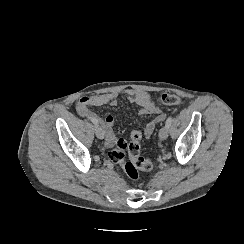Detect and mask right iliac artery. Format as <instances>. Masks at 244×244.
<instances>
[{"mask_svg": "<svg viewBox=\"0 0 244 244\" xmlns=\"http://www.w3.org/2000/svg\"><path fill=\"white\" fill-rule=\"evenodd\" d=\"M93 124L98 125V120L94 117L90 118Z\"/></svg>", "mask_w": 244, "mask_h": 244, "instance_id": "82829eb1", "label": "right iliac artery"}]
</instances>
